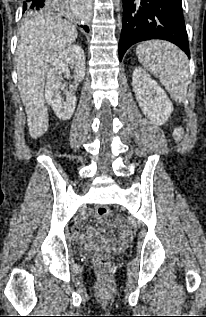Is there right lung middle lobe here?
<instances>
[{"mask_svg": "<svg viewBox=\"0 0 206 317\" xmlns=\"http://www.w3.org/2000/svg\"><path fill=\"white\" fill-rule=\"evenodd\" d=\"M63 2H65V1H63ZM24 13H25V17L26 18H32V17H35V16H37L38 14H42V13H45L44 11H38V12H26V11H24Z\"/></svg>", "mask_w": 206, "mask_h": 317, "instance_id": "dd1d6c3e", "label": "right lung middle lobe"}]
</instances>
